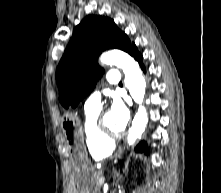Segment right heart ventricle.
I'll list each match as a JSON object with an SVG mask.
<instances>
[{
	"label": "right heart ventricle",
	"instance_id": "right-heart-ventricle-1",
	"mask_svg": "<svg viewBox=\"0 0 221 193\" xmlns=\"http://www.w3.org/2000/svg\"><path fill=\"white\" fill-rule=\"evenodd\" d=\"M98 113L99 111L85 112L83 121L85 145L94 159L107 157L114 149V144L104 141L96 129Z\"/></svg>",
	"mask_w": 221,
	"mask_h": 193
}]
</instances>
